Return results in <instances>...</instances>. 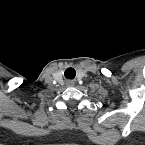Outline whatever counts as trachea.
<instances>
[{"label": "trachea", "mask_w": 145, "mask_h": 145, "mask_svg": "<svg viewBox=\"0 0 145 145\" xmlns=\"http://www.w3.org/2000/svg\"><path fill=\"white\" fill-rule=\"evenodd\" d=\"M69 70L72 71V75H73L72 78H73L75 76V70L72 69V68H69L68 70H66V72L69 71ZM66 72H65V75H66Z\"/></svg>", "instance_id": "trachea-1"}]
</instances>
